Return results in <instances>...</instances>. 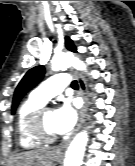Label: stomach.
Listing matches in <instances>:
<instances>
[{"label":"stomach","mask_w":135,"mask_h":166,"mask_svg":"<svg viewBox=\"0 0 135 166\" xmlns=\"http://www.w3.org/2000/svg\"><path fill=\"white\" fill-rule=\"evenodd\" d=\"M59 158H60L59 154H57L55 152H51V154H50V160L57 161V160H59ZM8 166H17V165L13 161H11ZM30 166H46V165H43L40 162H36V163H34V164L30 165Z\"/></svg>","instance_id":"obj_1"}]
</instances>
